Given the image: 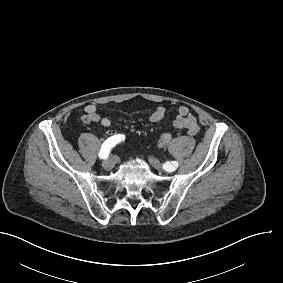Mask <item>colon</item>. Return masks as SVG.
Masks as SVG:
<instances>
[{"instance_id": "colon-1", "label": "colon", "mask_w": 283, "mask_h": 283, "mask_svg": "<svg viewBox=\"0 0 283 283\" xmlns=\"http://www.w3.org/2000/svg\"><path fill=\"white\" fill-rule=\"evenodd\" d=\"M172 139V134L171 132H164L161 134V136L159 137L157 144L159 147H165L169 144V142Z\"/></svg>"}]
</instances>
